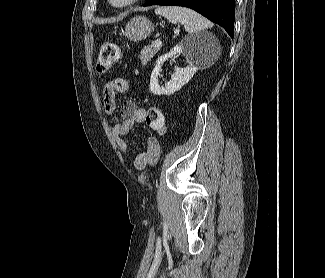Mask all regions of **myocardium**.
<instances>
[{
    "instance_id": "1",
    "label": "myocardium",
    "mask_w": 325,
    "mask_h": 278,
    "mask_svg": "<svg viewBox=\"0 0 325 278\" xmlns=\"http://www.w3.org/2000/svg\"><path fill=\"white\" fill-rule=\"evenodd\" d=\"M137 1H139V0H125L123 2L118 3V2H115L114 0H108V3L114 8H126V7L133 5Z\"/></svg>"
}]
</instances>
